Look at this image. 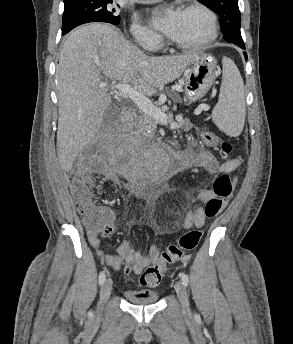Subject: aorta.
<instances>
[{
  "label": "aorta",
  "mask_w": 293,
  "mask_h": 344,
  "mask_svg": "<svg viewBox=\"0 0 293 344\" xmlns=\"http://www.w3.org/2000/svg\"><path fill=\"white\" fill-rule=\"evenodd\" d=\"M169 165V157L167 153L161 151L151 158V168L155 172L165 171L167 170Z\"/></svg>",
  "instance_id": "762f6f07"
}]
</instances>
